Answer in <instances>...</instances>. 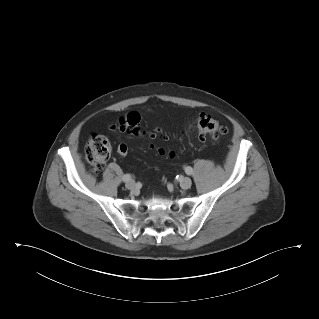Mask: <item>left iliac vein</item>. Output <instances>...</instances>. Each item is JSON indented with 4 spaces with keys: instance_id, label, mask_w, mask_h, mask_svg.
I'll return each mask as SVG.
<instances>
[{
    "instance_id": "1",
    "label": "left iliac vein",
    "mask_w": 319,
    "mask_h": 319,
    "mask_svg": "<svg viewBox=\"0 0 319 319\" xmlns=\"http://www.w3.org/2000/svg\"><path fill=\"white\" fill-rule=\"evenodd\" d=\"M192 185V181L190 178L188 177H184L180 180V186L183 188V189H189Z\"/></svg>"
}]
</instances>
